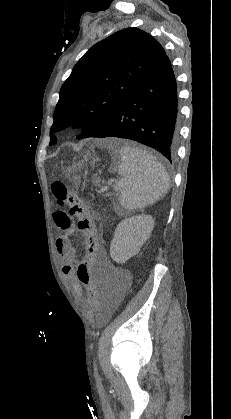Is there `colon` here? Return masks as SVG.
<instances>
[{
	"mask_svg": "<svg viewBox=\"0 0 231 419\" xmlns=\"http://www.w3.org/2000/svg\"><path fill=\"white\" fill-rule=\"evenodd\" d=\"M52 192L60 206H67L68 213L77 218V229L84 232L86 245L77 265L75 278L80 280L81 287L86 291V302L98 307L96 299L101 297L102 286L96 281L94 273H91L92 264L100 256V244L96 239L94 219L87 204L75 192L70 191L61 181L52 183Z\"/></svg>",
	"mask_w": 231,
	"mask_h": 419,
	"instance_id": "1",
	"label": "colon"
}]
</instances>
